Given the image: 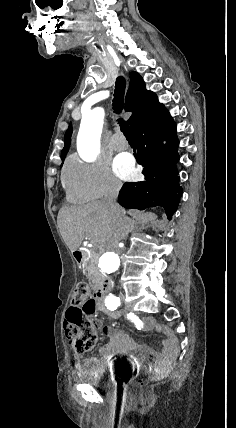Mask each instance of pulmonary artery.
<instances>
[{"label": "pulmonary artery", "mask_w": 236, "mask_h": 428, "mask_svg": "<svg viewBox=\"0 0 236 428\" xmlns=\"http://www.w3.org/2000/svg\"><path fill=\"white\" fill-rule=\"evenodd\" d=\"M113 147L116 151H124L128 149L129 145L127 142H122L115 144Z\"/></svg>", "instance_id": "e3ab8cb5"}]
</instances>
